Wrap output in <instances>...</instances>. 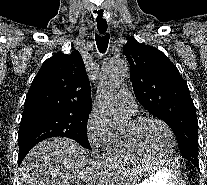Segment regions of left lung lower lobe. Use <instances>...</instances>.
Listing matches in <instances>:
<instances>
[{
    "mask_svg": "<svg viewBox=\"0 0 207 185\" xmlns=\"http://www.w3.org/2000/svg\"><path fill=\"white\" fill-rule=\"evenodd\" d=\"M189 160H190L196 167H199V164H198V156H197V157H191V158H189Z\"/></svg>",
    "mask_w": 207,
    "mask_h": 185,
    "instance_id": "1",
    "label": "left lung lower lobe"
}]
</instances>
